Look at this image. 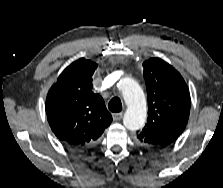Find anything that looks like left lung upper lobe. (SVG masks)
<instances>
[{
    "instance_id": "left-lung-upper-lobe-1",
    "label": "left lung upper lobe",
    "mask_w": 223,
    "mask_h": 188,
    "mask_svg": "<svg viewBox=\"0 0 223 188\" xmlns=\"http://www.w3.org/2000/svg\"><path fill=\"white\" fill-rule=\"evenodd\" d=\"M148 97L147 124L137 133L141 144L162 149L173 143L186 127L190 113L188 87L174 67L160 58L143 63Z\"/></svg>"
}]
</instances>
